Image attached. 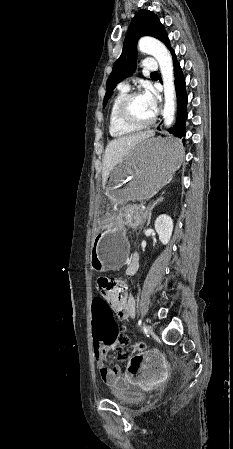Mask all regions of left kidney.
<instances>
[{
	"mask_svg": "<svg viewBox=\"0 0 233 449\" xmlns=\"http://www.w3.org/2000/svg\"><path fill=\"white\" fill-rule=\"evenodd\" d=\"M155 230L159 235V240L163 245H166L171 238L173 231V220L170 216L160 215L155 221Z\"/></svg>",
	"mask_w": 233,
	"mask_h": 449,
	"instance_id": "left-kidney-1",
	"label": "left kidney"
}]
</instances>
